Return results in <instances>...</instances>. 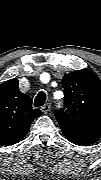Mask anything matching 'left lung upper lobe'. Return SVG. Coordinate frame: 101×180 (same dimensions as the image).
Instances as JSON below:
<instances>
[{"instance_id":"1","label":"left lung upper lobe","mask_w":101,"mask_h":180,"mask_svg":"<svg viewBox=\"0 0 101 180\" xmlns=\"http://www.w3.org/2000/svg\"><path fill=\"white\" fill-rule=\"evenodd\" d=\"M62 85L65 107L55 115L64 136L77 145L95 143L101 136L100 79L94 72L82 69L66 74Z\"/></svg>"}]
</instances>
